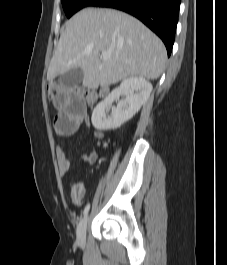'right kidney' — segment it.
<instances>
[{"label":"right kidney","mask_w":227,"mask_h":265,"mask_svg":"<svg viewBox=\"0 0 227 265\" xmlns=\"http://www.w3.org/2000/svg\"><path fill=\"white\" fill-rule=\"evenodd\" d=\"M151 91L152 84L143 77L124 79L119 87L94 108L91 117L94 128L101 131L119 128L140 110ZM121 95L126 96L125 100L119 101ZM115 100L118 101L117 107L110 116H106V111Z\"/></svg>","instance_id":"obj_1"}]
</instances>
